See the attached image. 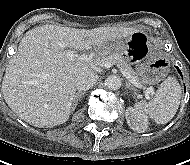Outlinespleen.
Masks as SVG:
<instances>
[{"label":"spleen","instance_id":"3e777b00","mask_svg":"<svg viewBox=\"0 0 190 165\" xmlns=\"http://www.w3.org/2000/svg\"><path fill=\"white\" fill-rule=\"evenodd\" d=\"M181 95L182 89L178 81L169 76L160 84L152 100L139 101L134 107L137 111L149 115L157 124H166L175 116Z\"/></svg>","mask_w":190,"mask_h":165}]
</instances>
